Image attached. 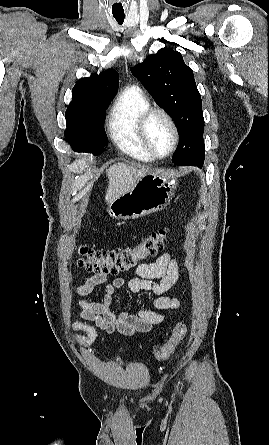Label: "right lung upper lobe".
<instances>
[{
  "label": "right lung upper lobe",
  "instance_id": "obj_1",
  "mask_svg": "<svg viewBox=\"0 0 269 445\" xmlns=\"http://www.w3.org/2000/svg\"><path fill=\"white\" fill-rule=\"evenodd\" d=\"M119 75L113 69L89 78H82L72 89L73 101L67 109L84 108L93 104L109 103L117 92Z\"/></svg>",
  "mask_w": 269,
  "mask_h": 445
}]
</instances>
